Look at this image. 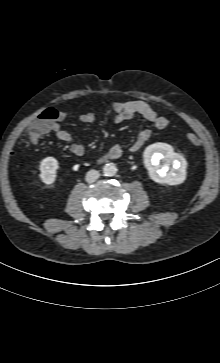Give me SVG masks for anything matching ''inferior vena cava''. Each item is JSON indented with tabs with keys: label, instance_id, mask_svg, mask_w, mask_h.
Listing matches in <instances>:
<instances>
[{
	"label": "inferior vena cava",
	"instance_id": "602c4592",
	"mask_svg": "<svg viewBox=\"0 0 220 363\" xmlns=\"http://www.w3.org/2000/svg\"><path fill=\"white\" fill-rule=\"evenodd\" d=\"M100 177V174L97 170H90L86 174V181L88 183L95 182Z\"/></svg>",
	"mask_w": 220,
	"mask_h": 363
}]
</instances>
